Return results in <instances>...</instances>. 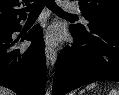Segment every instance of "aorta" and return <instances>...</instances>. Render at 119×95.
I'll return each mask as SVG.
<instances>
[{
    "instance_id": "1",
    "label": "aorta",
    "mask_w": 119,
    "mask_h": 95,
    "mask_svg": "<svg viewBox=\"0 0 119 95\" xmlns=\"http://www.w3.org/2000/svg\"><path fill=\"white\" fill-rule=\"evenodd\" d=\"M52 88H46L45 95H51L52 94Z\"/></svg>"
}]
</instances>
